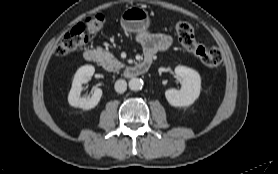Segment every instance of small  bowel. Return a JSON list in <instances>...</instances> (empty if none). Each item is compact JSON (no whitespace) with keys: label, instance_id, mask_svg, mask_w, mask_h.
I'll return each mask as SVG.
<instances>
[{"label":"small bowel","instance_id":"c3829d8e","mask_svg":"<svg viewBox=\"0 0 278 174\" xmlns=\"http://www.w3.org/2000/svg\"><path fill=\"white\" fill-rule=\"evenodd\" d=\"M145 57H152L158 52L169 49L173 44V37L163 33L144 32L137 36Z\"/></svg>","mask_w":278,"mask_h":174}]
</instances>
